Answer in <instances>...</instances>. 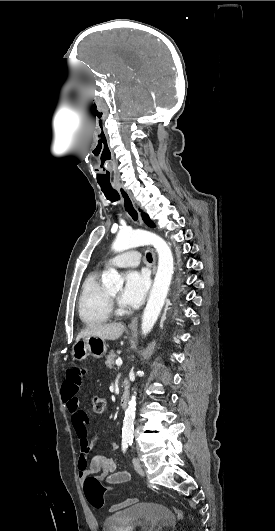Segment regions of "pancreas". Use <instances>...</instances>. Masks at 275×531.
Here are the masks:
<instances>
[{
	"label": "pancreas",
	"mask_w": 275,
	"mask_h": 531,
	"mask_svg": "<svg viewBox=\"0 0 275 531\" xmlns=\"http://www.w3.org/2000/svg\"><path fill=\"white\" fill-rule=\"evenodd\" d=\"M116 357H117V355H116L115 351H110L109 355H107L106 361H105V365H107V367H109V369H112Z\"/></svg>",
	"instance_id": "cf45deb5"
}]
</instances>
